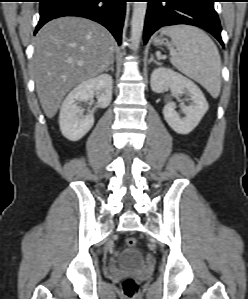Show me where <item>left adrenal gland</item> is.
<instances>
[{
    "label": "left adrenal gland",
    "mask_w": 248,
    "mask_h": 299,
    "mask_svg": "<svg viewBox=\"0 0 248 299\" xmlns=\"http://www.w3.org/2000/svg\"><path fill=\"white\" fill-rule=\"evenodd\" d=\"M150 62H154V63H156L157 65H160V63H159L157 60L154 59V56H153V55H151V57H150V59H149V63H150Z\"/></svg>",
    "instance_id": "1"
}]
</instances>
